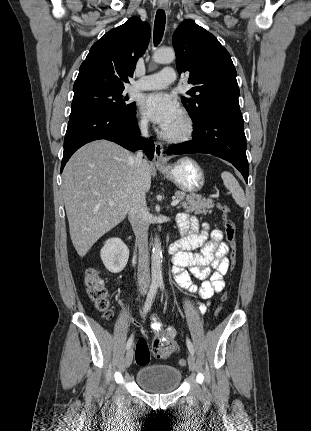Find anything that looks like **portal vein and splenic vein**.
I'll list each match as a JSON object with an SVG mask.
<instances>
[{
    "mask_svg": "<svg viewBox=\"0 0 311 431\" xmlns=\"http://www.w3.org/2000/svg\"><path fill=\"white\" fill-rule=\"evenodd\" d=\"M181 200H173L171 202V206H177V204H180ZM109 206H114V202H108Z\"/></svg>",
    "mask_w": 311,
    "mask_h": 431,
    "instance_id": "18ae733b",
    "label": "portal vein and splenic vein"
}]
</instances>
